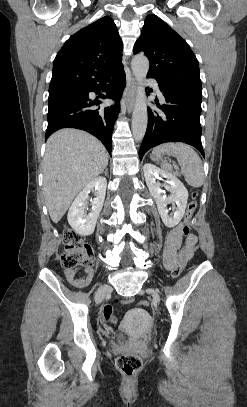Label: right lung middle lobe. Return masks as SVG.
Masks as SVG:
<instances>
[{
  "label": "right lung middle lobe",
  "instance_id": "1",
  "mask_svg": "<svg viewBox=\"0 0 247 407\" xmlns=\"http://www.w3.org/2000/svg\"><path fill=\"white\" fill-rule=\"evenodd\" d=\"M84 93V87H69L49 90L48 103L63 97L79 95Z\"/></svg>",
  "mask_w": 247,
  "mask_h": 407
}]
</instances>
